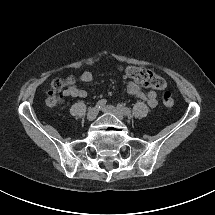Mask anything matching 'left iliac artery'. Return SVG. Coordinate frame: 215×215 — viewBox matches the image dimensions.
<instances>
[{"instance_id": "44dca946", "label": "left iliac artery", "mask_w": 215, "mask_h": 215, "mask_svg": "<svg viewBox=\"0 0 215 215\" xmlns=\"http://www.w3.org/2000/svg\"><path fill=\"white\" fill-rule=\"evenodd\" d=\"M117 108L121 111V112H123L125 115H130L131 114V110H130V108H128V107H125L123 104H118L117 105Z\"/></svg>"}]
</instances>
